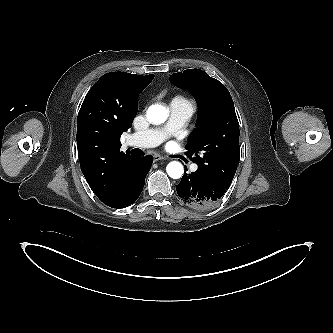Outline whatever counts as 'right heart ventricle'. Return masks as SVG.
<instances>
[{
  "mask_svg": "<svg viewBox=\"0 0 333 333\" xmlns=\"http://www.w3.org/2000/svg\"><path fill=\"white\" fill-rule=\"evenodd\" d=\"M175 99H181V100H185L184 98L182 97H176Z\"/></svg>",
  "mask_w": 333,
  "mask_h": 333,
  "instance_id": "1",
  "label": "right heart ventricle"
}]
</instances>
